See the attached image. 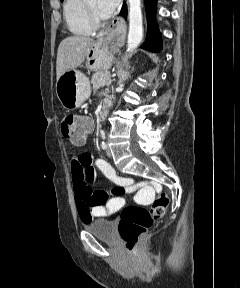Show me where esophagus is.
Wrapping results in <instances>:
<instances>
[{
    "instance_id": "1",
    "label": "esophagus",
    "mask_w": 240,
    "mask_h": 288,
    "mask_svg": "<svg viewBox=\"0 0 240 288\" xmlns=\"http://www.w3.org/2000/svg\"><path fill=\"white\" fill-rule=\"evenodd\" d=\"M120 24V20L119 19H116L115 21L112 22V27L111 29H113L114 27L118 26ZM107 34V31L105 32H101L100 33V39L102 40L103 37Z\"/></svg>"
}]
</instances>
